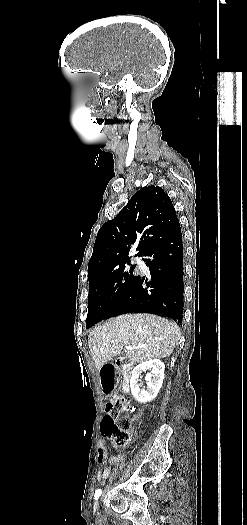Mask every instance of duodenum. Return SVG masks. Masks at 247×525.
<instances>
[{
    "label": "duodenum",
    "instance_id": "1",
    "mask_svg": "<svg viewBox=\"0 0 247 525\" xmlns=\"http://www.w3.org/2000/svg\"><path fill=\"white\" fill-rule=\"evenodd\" d=\"M133 365L124 358H118L102 365L100 369V383L105 394H110L116 384V372L123 376L122 389L128 392Z\"/></svg>",
    "mask_w": 247,
    "mask_h": 525
}]
</instances>
